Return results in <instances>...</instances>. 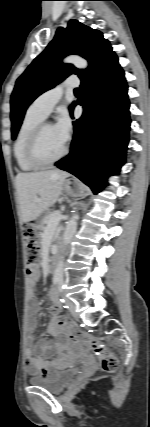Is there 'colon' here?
<instances>
[{
	"mask_svg": "<svg viewBox=\"0 0 150 427\" xmlns=\"http://www.w3.org/2000/svg\"><path fill=\"white\" fill-rule=\"evenodd\" d=\"M23 238L26 245V270L33 276L38 269L41 248L35 229L29 225L24 227ZM64 329L74 342L83 343L89 346L92 352L101 359V367L104 372L113 373L118 368L117 357L97 338H88L74 326L68 325L62 320H57L54 331Z\"/></svg>",
	"mask_w": 150,
	"mask_h": 427,
	"instance_id": "5ec220e1",
	"label": "colon"
}]
</instances>
